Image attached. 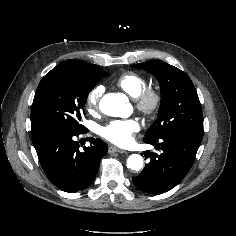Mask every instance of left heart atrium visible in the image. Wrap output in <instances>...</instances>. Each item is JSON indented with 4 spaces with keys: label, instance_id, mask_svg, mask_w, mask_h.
Segmentation results:
<instances>
[{
    "label": "left heart atrium",
    "instance_id": "obj_1",
    "mask_svg": "<svg viewBox=\"0 0 236 236\" xmlns=\"http://www.w3.org/2000/svg\"><path fill=\"white\" fill-rule=\"evenodd\" d=\"M140 129V125L135 119L114 120L101 128V136L108 141L126 146L133 141V136Z\"/></svg>",
    "mask_w": 236,
    "mask_h": 236
}]
</instances>
